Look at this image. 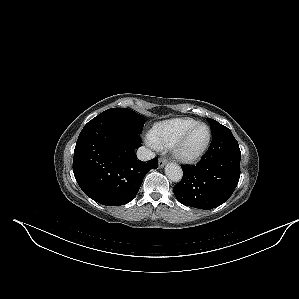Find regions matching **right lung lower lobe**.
Wrapping results in <instances>:
<instances>
[{
	"instance_id": "1",
	"label": "right lung lower lobe",
	"mask_w": 299,
	"mask_h": 299,
	"mask_svg": "<svg viewBox=\"0 0 299 299\" xmlns=\"http://www.w3.org/2000/svg\"><path fill=\"white\" fill-rule=\"evenodd\" d=\"M141 139L130 126L108 116H96L81 131L73 158V172L82 191L106 205L129 203L145 175L158 168V158L140 161L135 149Z\"/></svg>"
}]
</instances>
